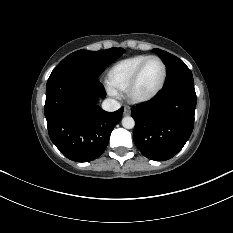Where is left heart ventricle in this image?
<instances>
[{"instance_id": "b2bd125f", "label": "left heart ventricle", "mask_w": 233, "mask_h": 233, "mask_svg": "<svg viewBox=\"0 0 233 233\" xmlns=\"http://www.w3.org/2000/svg\"><path fill=\"white\" fill-rule=\"evenodd\" d=\"M163 67L161 63L152 59L145 65L135 88L137 95H147L153 92L161 82Z\"/></svg>"}]
</instances>
